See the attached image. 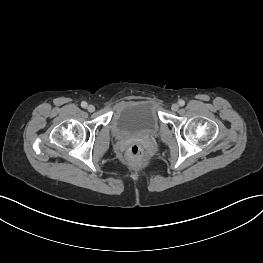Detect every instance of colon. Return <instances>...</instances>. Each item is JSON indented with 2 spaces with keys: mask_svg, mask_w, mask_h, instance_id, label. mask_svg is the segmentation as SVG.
Masks as SVG:
<instances>
[{
  "mask_svg": "<svg viewBox=\"0 0 263 263\" xmlns=\"http://www.w3.org/2000/svg\"><path fill=\"white\" fill-rule=\"evenodd\" d=\"M125 158L129 165H139L143 161L144 150L139 144L131 143L126 148Z\"/></svg>",
  "mask_w": 263,
  "mask_h": 263,
  "instance_id": "obj_1",
  "label": "colon"
}]
</instances>
